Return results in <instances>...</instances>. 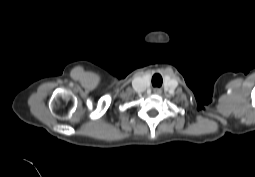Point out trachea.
<instances>
[{
  "instance_id": "3493384b",
  "label": "trachea",
  "mask_w": 255,
  "mask_h": 177,
  "mask_svg": "<svg viewBox=\"0 0 255 177\" xmlns=\"http://www.w3.org/2000/svg\"><path fill=\"white\" fill-rule=\"evenodd\" d=\"M152 85L154 87H160L162 85V78L160 75H155L152 79Z\"/></svg>"
}]
</instances>
